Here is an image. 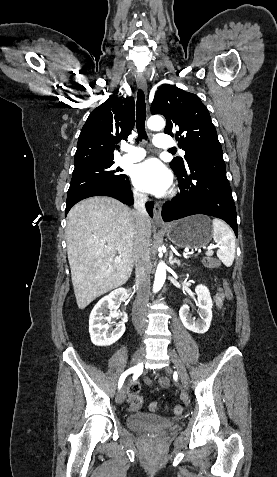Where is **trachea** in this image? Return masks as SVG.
Listing matches in <instances>:
<instances>
[{"label":"trachea","instance_id":"1","mask_svg":"<svg viewBox=\"0 0 277 477\" xmlns=\"http://www.w3.org/2000/svg\"><path fill=\"white\" fill-rule=\"evenodd\" d=\"M145 120H146V104L145 96L142 90H139L137 93V105H136V128L138 132L137 142L142 139H147L145 131ZM170 152H175V150H170Z\"/></svg>","mask_w":277,"mask_h":477}]
</instances>
